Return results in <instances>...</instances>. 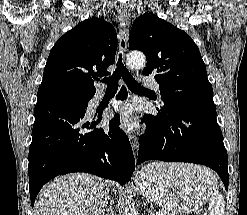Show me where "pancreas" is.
Wrapping results in <instances>:
<instances>
[{
    "mask_svg": "<svg viewBox=\"0 0 247 215\" xmlns=\"http://www.w3.org/2000/svg\"><path fill=\"white\" fill-rule=\"evenodd\" d=\"M164 215H171V214H170V213H168V212H165V213H164Z\"/></svg>",
    "mask_w": 247,
    "mask_h": 215,
    "instance_id": "pancreas-1",
    "label": "pancreas"
}]
</instances>
